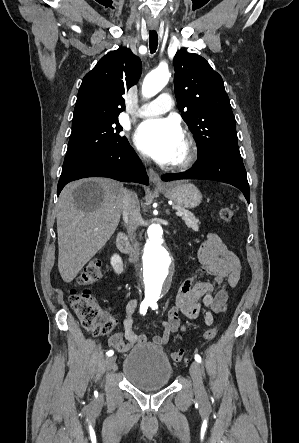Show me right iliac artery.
Instances as JSON below:
<instances>
[{"label": "right iliac artery", "instance_id": "obj_1", "mask_svg": "<svg viewBox=\"0 0 299 443\" xmlns=\"http://www.w3.org/2000/svg\"><path fill=\"white\" fill-rule=\"evenodd\" d=\"M150 305V300H143L142 301V303H141V305H140V314H142V315H145L146 314V312H147V309H148V306ZM114 354V351L113 350H109L107 353H106V355L109 357V356H112Z\"/></svg>", "mask_w": 299, "mask_h": 443}]
</instances>
